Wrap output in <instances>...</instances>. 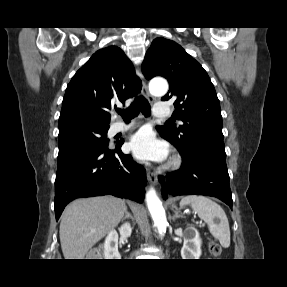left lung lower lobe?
<instances>
[{"mask_svg": "<svg viewBox=\"0 0 287 287\" xmlns=\"http://www.w3.org/2000/svg\"><path fill=\"white\" fill-rule=\"evenodd\" d=\"M182 160L179 170L159 177L164 199L169 195H207L219 198L232 208L226 161L202 154L189 158L182 155Z\"/></svg>", "mask_w": 287, "mask_h": 287, "instance_id": "0a47b994", "label": "left lung lower lobe"}]
</instances>
